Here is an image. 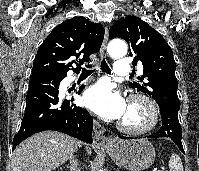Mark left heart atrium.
Wrapping results in <instances>:
<instances>
[{
  "label": "left heart atrium",
  "instance_id": "1",
  "mask_svg": "<svg viewBox=\"0 0 199 171\" xmlns=\"http://www.w3.org/2000/svg\"><path fill=\"white\" fill-rule=\"evenodd\" d=\"M83 103L92 112L107 120L121 119L127 105L119 92L107 82H99L83 95Z\"/></svg>",
  "mask_w": 199,
  "mask_h": 171
}]
</instances>
